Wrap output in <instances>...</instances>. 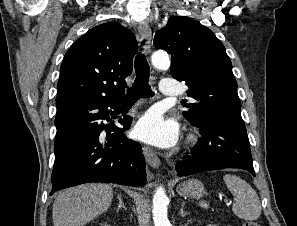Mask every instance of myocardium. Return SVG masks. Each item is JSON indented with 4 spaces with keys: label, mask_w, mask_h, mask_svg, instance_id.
<instances>
[{
    "label": "myocardium",
    "mask_w": 297,
    "mask_h": 226,
    "mask_svg": "<svg viewBox=\"0 0 297 226\" xmlns=\"http://www.w3.org/2000/svg\"><path fill=\"white\" fill-rule=\"evenodd\" d=\"M190 139H191V140H194V139H195V137H194L193 135H191V136H190Z\"/></svg>",
    "instance_id": "f54148a6"
}]
</instances>
